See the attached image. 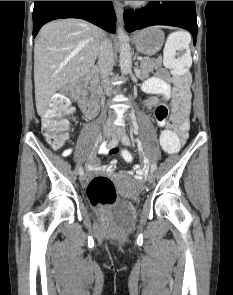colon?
Returning a JSON list of instances; mask_svg holds the SVG:
<instances>
[{"label": "colon", "instance_id": "5ec220e1", "mask_svg": "<svg viewBox=\"0 0 233 295\" xmlns=\"http://www.w3.org/2000/svg\"><path fill=\"white\" fill-rule=\"evenodd\" d=\"M164 62L169 69L174 83V91L181 94L189 91L190 77L187 69L191 63L190 39L185 33H172L166 43ZM83 88L81 81L68 84L62 92L55 94L44 113L42 130L47 142L53 147H61L69 137L68 122L63 115L69 114V96L78 95ZM160 144L168 154L176 153L181 139L171 128L165 129L160 137ZM125 163L133 162V155L128 150L121 152ZM87 196L97 208L106 209L112 206L117 198L112 180L106 176L93 177L87 186Z\"/></svg>", "mask_w": 233, "mask_h": 295}]
</instances>
